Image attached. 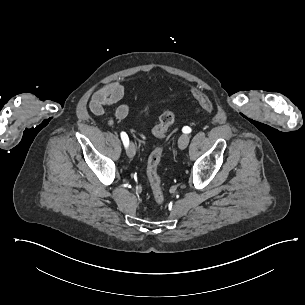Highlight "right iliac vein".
Returning <instances> with one entry per match:
<instances>
[{
  "label": "right iliac vein",
  "instance_id": "right-iliac-vein-1",
  "mask_svg": "<svg viewBox=\"0 0 305 305\" xmlns=\"http://www.w3.org/2000/svg\"><path fill=\"white\" fill-rule=\"evenodd\" d=\"M136 154V148H135V145L130 142L128 148H127V155L130 157V158H133Z\"/></svg>",
  "mask_w": 305,
  "mask_h": 305
}]
</instances>
